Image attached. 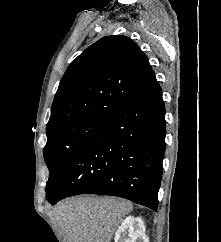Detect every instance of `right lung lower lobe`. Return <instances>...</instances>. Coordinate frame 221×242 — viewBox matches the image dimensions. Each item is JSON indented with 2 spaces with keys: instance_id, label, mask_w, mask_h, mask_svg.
Instances as JSON below:
<instances>
[{
  "instance_id": "obj_1",
  "label": "right lung lower lobe",
  "mask_w": 221,
  "mask_h": 242,
  "mask_svg": "<svg viewBox=\"0 0 221 242\" xmlns=\"http://www.w3.org/2000/svg\"><path fill=\"white\" fill-rule=\"evenodd\" d=\"M165 135V106L156 81L84 141L49 192L50 204L92 193L126 198L156 211Z\"/></svg>"
}]
</instances>
